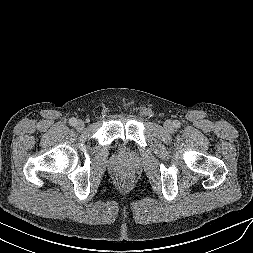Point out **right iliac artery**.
<instances>
[{
    "label": "right iliac artery",
    "mask_w": 253,
    "mask_h": 253,
    "mask_svg": "<svg viewBox=\"0 0 253 253\" xmlns=\"http://www.w3.org/2000/svg\"><path fill=\"white\" fill-rule=\"evenodd\" d=\"M69 123H70V125L75 126V124H76V119H75V118H71V119L69 120Z\"/></svg>",
    "instance_id": "right-iliac-artery-1"
}]
</instances>
